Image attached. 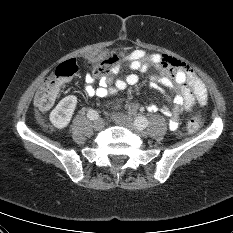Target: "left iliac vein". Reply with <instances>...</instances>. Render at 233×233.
I'll return each instance as SVG.
<instances>
[{
    "label": "left iliac vein",
    "mask_w": 233,
    "mask_h": 233,
    "mask_svg": "<svg viewBox=\"0 0 233 233\" xmlns=\"http://www.w3.org/2000/svg\"><path fill=\"white\" fill-rule=\"evenodd\" d=\"M113 119L117 124L124 126L132 131H135L143 137L146 136V132H144L143 129L139 128L132 120V118H130L129 116L123 114H116L113 116Z\"/></svg>",
    "instance_id": "left-iliac-vein-1"
}]
</instances>
